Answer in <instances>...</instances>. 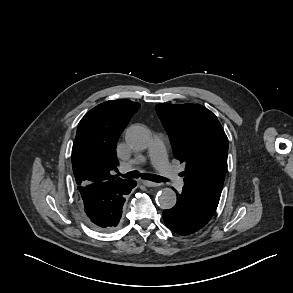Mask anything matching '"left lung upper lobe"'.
I'll list each match as a JSON object with an SVG mask.
<instances>
[{"label":"left lung upper lobe","instance_id":"1","mask_svg":"<svg viewBox=\"0 0 293 293\" xmlns=\"http://www.w3.org/2000/svg\"><path fill=\"white\" fill-rule=\"evenodd\" d=\"M174 157L185 165L183 189L217 208L227 171L228 138L213 112L195 104H158Z\"/></svg>","mask_w":293,"mask_h":293}]
</instances>
